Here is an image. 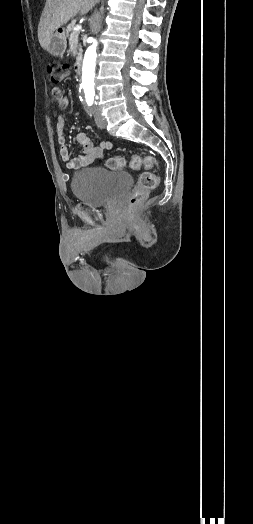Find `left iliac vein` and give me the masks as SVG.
I'll list each match as a JSON object with an SVG mask.
<instances>
[{
	"mask_svg": "<svg viewBox=\"0 0 253 524\" xmlns=\"http://www.w3.org/2000/svg\"><path fill=\"white\" fill-rule=\"evenodd\" d=\"M94 119H95V123L96 125L100 128V129H103L105 128L106 126V120L104 117H102L99 112L97 111V109L94 107Z\"/></svg>",
	"mask_w": 253,
	"mask_h": 524,
	"instance_id": "left-iliac-vein-1",
	"label": "left iliac vein"
}]
</instances>
